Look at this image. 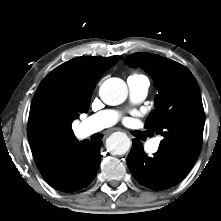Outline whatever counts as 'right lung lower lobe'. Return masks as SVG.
I'll list each match as a JSON object with an SVG mask.
<instances>
[{"instance_id":"obj_1","label":"right lung lower lobe","mask_w":221,"mask_h":221,"mask_svg":"<svg viewBox=\"0 0 221 221\" xmlns=\"http://www.w3.org/2000/svg\"><path fill=\"white\" fill-rule=\"evenodd\" d=\"M101 145V140L81 142L59 166L42 176L50 186L63 192H74L88 186L100 165Z\"/></svg>"}]
</instances>
